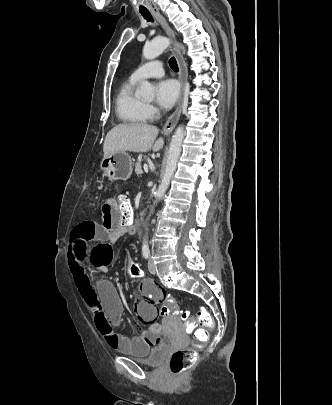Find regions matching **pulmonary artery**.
Segmentation results:
<instances>
[{"label": "pulmonary artery", "instance_id": "pulmonary-artery-1", "mask_svg": "<svg viewBox=\"0 0 332 405\" xmlns=\"http://www.w3.org/2000/svg\"><path fill=\"white\" fill-rule=\"evenodd\" d=\"M164 74L163 65L160 61L148 62L137 68L131 75L132 79L141 80L150 77H160Z\"/></svg>", "mask_w": 332, "mask_h": 405}]
</instances>
